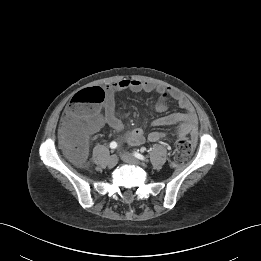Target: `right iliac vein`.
Returning <instances> with one entry per match:
<instances>
[{
    "instance_id": "1",
    "label": "right iliac vein",
    "mask_w": 261,
    "mask_h": 261,
    "mask_svg": "<svg viewBox=\"0 0 261 261\" xmlns=\"http://www.w3.org/2000/svg\"><path fill=\"white\" fill-rule=\"evenodd\" d=\"M117 162H118L117 156L116 155H112V156H110L108 158L107 165L109 167H114V166H116Z\"/></svg>"
}]
</instances>
